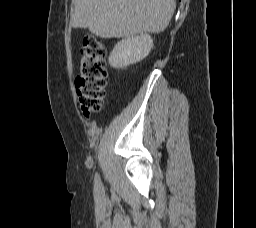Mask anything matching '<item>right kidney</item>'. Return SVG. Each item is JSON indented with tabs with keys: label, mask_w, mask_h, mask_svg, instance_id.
<instances>
[{
	"label": "right kidney",
	"mask_w": 256,
	"mask_h": 228,
	"mask_svg": "<svg viewBox=\"0 0 256 228\" xmlns=\"http://www.w3.org/2000/svg\"><path fill=\"white\" fill-rule=\"evenodd\" d=\"M153 48V40L148 34L127 37L119 41L109 56L113 68H125L143 60Z\"/></svg>",
	"instance_id": "right-kidney-1"
}]
</instances>
